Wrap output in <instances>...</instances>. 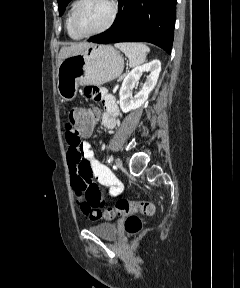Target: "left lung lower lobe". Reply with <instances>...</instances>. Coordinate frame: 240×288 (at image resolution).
<instances>
[{"mask_svg": "<svg viewBox=\"0 0 240 288\" xmlns=\"http://www.w3.org/2000/svg\"><path fill=\"white\" fill-rule=\"evenodd\" d=\"M118 3L112 26L89 42H150L171 53L176 0H118Z\"/></svg>", "mask_w": 240, "mask_h": 288, "instance_id": "1", "label": "left lung lower lobe"}]
</instances>
